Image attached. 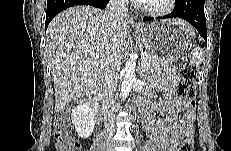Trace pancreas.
I'll return each instance as SVG.
<instances>
[{
  "mask_svg": "<svg viewBox=\"0 0 231 151\" xmlns=\"http://www.w3.org/2000/svg\"><path fill=\"white\" fill-rule=\"evenodd\" d=\"M171 63L169 61L163 60L157 56H153L149 53L146 54V57L142 58L141 66L144 72L149 71H158V70H168ZM176 68L175 66H172Z\"/></svg>",
  "mask_w": 231,
  "mask_h": 151,
  "instance_id": "obj_1",
  "label": "pancreas"
}]
</instances>
